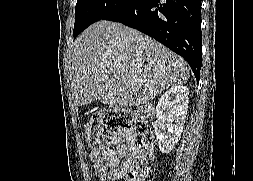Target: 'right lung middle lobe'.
<instances>
[{
    "instance_id": "right-lung-middle-lobe-1",
    "label": "right lung middle lobe",
    "mask_w": 253,
    "mask_h": 181,
    "mask_svg": "<svg viewBox=\"0 0 253 181\" xmlns=\"http://www.w3.org/2000/svg\"><path fill=\"white\" fill-rule=\"evenodd\" d=\"M127 0H77L74 37L92 23L118 10Z\"/></svg>"
}]
</instances>
